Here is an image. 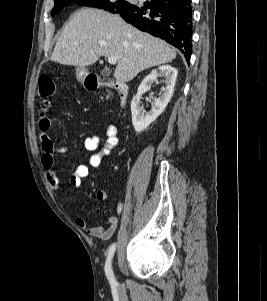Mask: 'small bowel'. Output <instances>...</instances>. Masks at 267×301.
I'll return each mask as SVG.
<instances>
[{"label": "small bowel", "instance_id": "small-bowel-1", "mask_svg": "<svg viewBox=\"0 0 267 301\" xmlns=\"http://www.w3.org/2000/svg\"><path fill=\"white\" fill-rule=\"evenodd\" d=\"M52 108V103L49 99H42L40 110L38 114V131L39 138L42 143L43 155L41 157V164L45 171L46 178L51 189L58 190L60 187V179L54 170V157L57 154H63L67 151V147L55 144L48 135L50 128V118L48 112ZM103 134L105 139L102 140L99 135H92L84 140V148L92 152L88 164H80L69 178V184L72 188H79L82 180L88 176L90 168L98 167L103 158L109 156L112 150L118 144V129L112 123H107L103 127ZM98 201L107 200V193L99 190L96 194ZM76 225L85 231L89 236L99 238L103 241L109 240L115 233L118 226L117 216H111L103 226H92L87 220L78 216L76 218Z\"/></svg>", "mask_w": 267, "mask_h": 301}]
</instances>
